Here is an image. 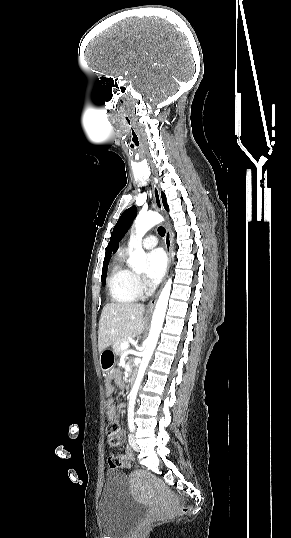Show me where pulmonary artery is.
Segmentation results:
<instances>
[{
    "mask_svg": "<svg viewBox=\"0 0 291 538\" xmlns=\"http://www.w3.org/2000/svg\"><path fill=\"white\" fill-rule=\"evenodd\" d=\"M158 243V239L154 235H148L146 238H144L142 244L145 248L151 249L154 248Z\"/></svg>",
    "mask_w": 291,
    "mask_h": 538,
    "instance_id": "pulmonary-artery-1",
    "label": "pulmonary artery"
}]
</instances>
